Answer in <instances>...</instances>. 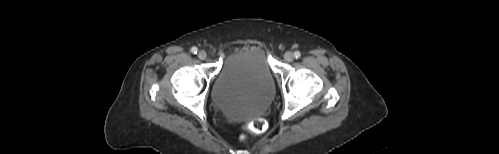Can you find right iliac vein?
Segmentation results:
<instances>
[{"instance_id":"right-iliac-vein-1","label":"right iliac vein","mask_w":499,"mask_h":154,"mask_svg":"<svg viewBox=\"0 0 499 154\" xmlns=\"http://www.w3.org/2000/svg\"><path fill=\"white\" fill-rule=\"evenodd\" d=\"M198 58L201 59V60H205L207 58V53L204 50H201L198 53Z\"/></svg>"}]
</instances>
